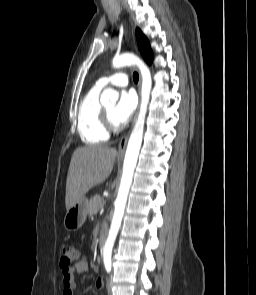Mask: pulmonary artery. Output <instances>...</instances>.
Segmentation results:
<instances>
[{"label": "pulmonary artery", "mask_w": 256, "mask_h": 295, "mask_svg": "<svg viewBox=\"0 0 256 295\" xmlns=\"http://www.w3.org/2000/svg\"><path fill=\"white\" fill-rule=\"evenodd\" d=\"M129 77L124 72H116L108 77H103L98 80L97 85L101 88L106 86L125 87L128 85Z\"/></svg>", "instance_id": "pulmonary-artery-1"}]
</instances>
